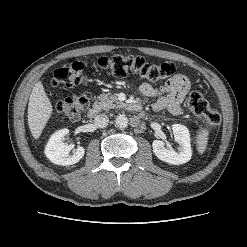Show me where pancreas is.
I'll return each instance as SVG.
<instances>
[{"label":"pancreas","instance_id":"obj_1","mask_svg":"<svg viewBox=\"0 0 247 247\" xmlns=\"http://www.w3.org/2000/svg\"><path fill=\"white\" fill-rule=\"evenodd\" d=\"M98 100L99 102H96V105L103 110L124 107V103L120 102L115 95H111L110 93L99 95Z\"/></svg>","mask_w":247,"mask_h":247}]
</instances>
